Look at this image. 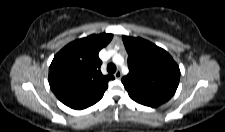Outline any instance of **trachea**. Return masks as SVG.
<instances>
[{
    "instance_id": "3493384b",
    "label": "trachea",
    "mask_w": 225,
    "mask_h": 132,
    "mask_svg": "<svg viewBox=\"0 0 225 132\" xmlns=\"http://www.w3.org/2000/svg\"><path fill=\"white\" fill-rule=\"evenodd\" d=\"M107 71L109 73H114L116 71V66L114 64H112V63L108 64Z\"/></svg>"
}]
</instances>
